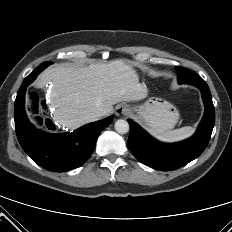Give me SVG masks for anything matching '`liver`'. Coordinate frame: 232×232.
<instances>
[{"label":"liver","instance_id":"liver-1","mask_svg":"<svg viewBox=\"0 0 232 232\" xmlns=\"http://www.w3.org/2000/svg\"><path fill=\"white\" fill-rule=\"evenodd\" d=\"M49 82L53 120L69 130L92 122L88 117L95 111L109 115L114 104L139 101L148 95L146 85L139 83L137 72L121 59L90 63L86 67L58 64L39 75L37 86L41 88Z\"/></svg>","mask_w":232,"mask_h":232}]
</instances>
